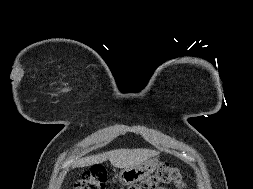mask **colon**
Instances as JSON below:
<instances>
[{"instance_id":"obj_1","label":"colon","mask_w":253,"mask_h":189,"mask_svg":"<svg viewBox=\"0 0 253 189\" xmlns=\"http://www.w3.org/2000/svg\"><path fill=\"white\" fill-rule=\"evenodd\" d=\"M106 182V170L101 166H95L75 183L74 189H106ZM181 182L179 171L168 163H163L152 175L140 183L121 189H159L162 184H172L179 187Z\"/></svg>"}]
</instances>
